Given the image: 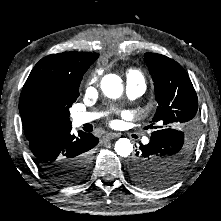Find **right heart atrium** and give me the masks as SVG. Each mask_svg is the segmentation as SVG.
<instances>
[{"label":"right heart atrium","instance_id":"d8ad5b80","mask_svg":"<svg viewBox=\"0 0 221 221\" xmlns=\"http://www.w3.org/2000/svg\"><path fill=\"white\" fill-rule=\"evenodd\" d=\"M97 81H98V77L96 75H92L91 77H89L88 82H87V89L91 90L95 88Z\"/></svg>","mask_w":221,"mask_h":221}]
</instances>
